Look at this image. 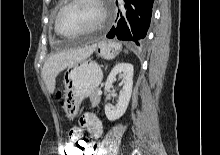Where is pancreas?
Segmentation results:
<instances>
[{
  "instance_id": "cf45deb5",
  "label": "pancreas",
  "mask_w": 220,
  "mask_h": 155,
  "mask_svg": "<svg viewBox=\"0 0 220 155\" xmlns=\"http://www.w3.org/2000/svg\"><path fill=\"white\" fill-rule=\"evenodd\" d=\"M90 102L92 107L98 106L100 102V96L98 95L97 91H95L91 96H90Z\"/></svg>"
}]
</instances>
